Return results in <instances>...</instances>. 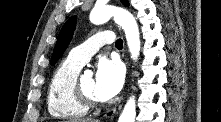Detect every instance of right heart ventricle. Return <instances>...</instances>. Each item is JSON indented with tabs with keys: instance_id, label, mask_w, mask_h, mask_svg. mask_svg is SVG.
<instances>
[{
	"instance_id": "right-heart-ventricle-1",
	"label": "right heart ventricle",
	"mask_w": 221,
	"mask_h": 122,
	"mask_svg": "<svg viewBox=\"0 0 221 122\" xmlns=\"http://www.w3.org/2000/svg\"><path fill=\"white\" fill-rule=\"evenodd\" d=\"M82 66L70 58L65 59L55 69L47 91V107L55 118H79L88 109L81 105L74 94V82Z\"/></svg>"
}]
</instances>
